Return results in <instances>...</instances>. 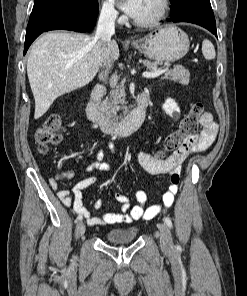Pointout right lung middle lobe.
<instances>
[{
  "label": "right lung middle lobe",
  "mask_w": 247,
  "mask_h": 296,
  "mask_svg": "<svg viewBox=\"0 0 247 296\" xmlns=\"http://www.w3.org/2000/svg\"><path fill=\"white\" fill-rule=\"evenodd\" d=\"M61 0H35L33 10L43 7L45 5L55 3ZM75 2L76 6L84 11H94L98 9L97 0H72Z\"/></svg>",
  "instance_id": "obj_1"
}]
</instances>
